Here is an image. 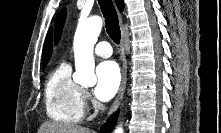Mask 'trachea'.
Instances as JSON below:
<instances>
[{
  "mask_svg": "<svg viewBox=\"0 0 221 133\" xmlns=\"http://www.w3.org/2000/svg\"><path fill=\"white\" fill-rule=\"evenodd\" d=\"M101 11L105 18L106 31L109 37L119 44L121 38V31L119 27V20L113 5L112 0H98Z\"/></svg>",
  "mask_w": 221,
  "mask_h": 133,
  "instance_id": "3493384b",
  "label": "trachea"
}]
</instances>
